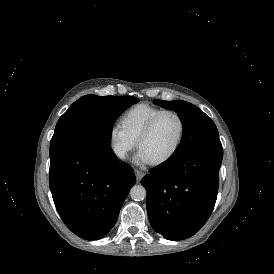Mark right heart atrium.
<instances>
[{
	"label": "right heart atrium",
	"instance_id": "d8ad5b80",
	"mask_svg": "<svg viewBox=\"0 0 274 274\" xmlns=\"http://www.w3.org/2000/svg\"><path fill=\"white\" fill-rule=\"evenodd\" d=\"M108 144L113 154L120 160H124L134 149L135 140L120 125L112 124L108 129Z\"/></svg>",
	"mask_w": 274,
	"mask_h": 274
}]
</instances>
